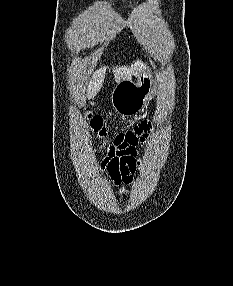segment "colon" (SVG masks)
Here are the masks:
<instances>
[{"label":"colon","mask_w":233,"mask_h":286,"mask_svg":"<svg viewBox=\"0 0 233 286\" xmlns=\"http://www.w3.org/2000/svg\"><path fill=\"white\" fill-rule=\"evenodd\" d=\"M87 120L92 130L97 134L98 137L105 138L109 135L110 128L107 126L100 115L89 113L87 114Z\"/></svg>","instance_id":"colon-1"}]
</instances>
